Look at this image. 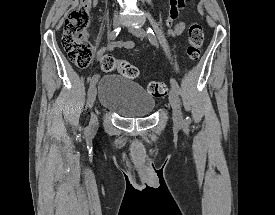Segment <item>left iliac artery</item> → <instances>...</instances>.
I'll return each instance as SVG.
<instances>
[{
    "mask_svg": "<svg viewBox=\"0 0 275 215\" xmlns=\"http://www.w3.org/2000/svg\"><path fill=\"white\" fill-rule=\"evenodd\" d=\"M146 33L148 35V38H149V41L151 42V44L157 45L156 36L150 27L146 29ZM170 83H171V86L177 91V93H180V87H179L178 83L176 82V80L171 78ZM186 120L188 121L189 117H186Z\"/></svg>",
    "mask_w": 275,
    "mask_h": 215,
    "instance_id": "obj_1",
    "label": "left iliac artery"
}]
</instances>
